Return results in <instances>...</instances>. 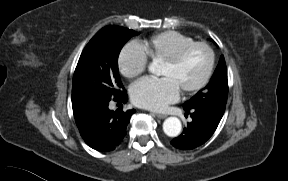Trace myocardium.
Returning a JSON list of instances; mask_svg holds the SVG:
<instances>
[{
    "label": "myocardium",
    "instance_id": "obj_1",
    "mask_svg": "<svg viewBox=\"0 0 288 181\" xmlns=\"http://www.w3.org/2000/svg\"><path fill=\"white\" fill-rule=\"evenodd\" d=\"M197 47H202L204 49L207 50L208 54H209V63H208V67L207 70L204 74V76L202 77V79L195 84L194 86L184 89L182 90L183 94H192L195 92H198L199 90H201L202 88H204L208 82L210 81L213 71H214V67H215V62H216V55H215V51L214 49L206 42H193L189 45H186L182 48H180L177 52H175L172 56L163 59L161 62L165 63L167 65L170 66H175L177 65L191 50H193L194 48Z\"/></svg>",
    "mask_w": 288,
    "mask_h": 181
}]
</instances>
